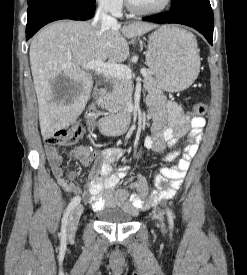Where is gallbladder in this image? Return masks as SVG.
<instances>
[{
  "instance_id": "gallbladder-1",
  "label": "gallbladder",
  "mask_w": 247,
  "mask_h": 275,
  "mask_svg": "<svg viewBox=\"0 0 247 275\" xmlns=\"http://www.w3.org/2000/svg\"><path fill=\"white\" fill-rule=\"evenodd\" d=\"M52 89L56 92V94H72L74 92V86L72 85L71 81L64 75L58 77L52 83Z\"/></svg>"
}]
</instances>
